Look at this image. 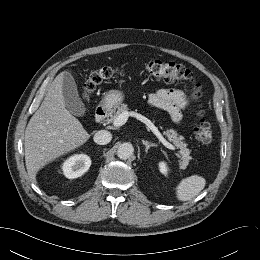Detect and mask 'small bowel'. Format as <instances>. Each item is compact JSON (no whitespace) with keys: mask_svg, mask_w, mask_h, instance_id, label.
I'll return each mask as SVG.
<instances>
[{"mask_svg":"<svg viewBox=\"0 0 260 260\" xmlns=\"http://www.w3.org/2000/svg\"><path fill=\"white\" fill-rule=\"evenodd\" d=\"M149 103L169 113L172 121L176 124L182 120V111L188 106L184 93L178 89H159L148 97Z\"/></svg>","mask_w":260,"mask_h":260,"instance_id":"1","label":"small bowel"}]
</instances>
